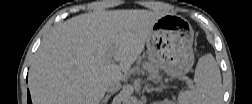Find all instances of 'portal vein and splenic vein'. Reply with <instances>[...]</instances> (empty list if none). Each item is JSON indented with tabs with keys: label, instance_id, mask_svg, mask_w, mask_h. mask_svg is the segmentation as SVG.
<instances>
[{
	"label": "portal vein and splenic vein",
	"instance_id": "portal-vein-and-splenic-vein-1",
	"mask_svg": "<svg viewBox=\"0 0 252 104\" xmlns=\"http://www.w3.org/2000/svg\"><path fill=\"white\" fill-rule=\"evenodd\" d=\"M107 61L111 62L112 61V58H111V55H108L107 56ZM187 83L188 85H191L192 84V81L190 79L187 80Z\"/></svg>",
	"mask_w": 252,
	"mask_h": 104
}]
</instances>
